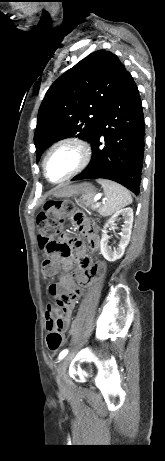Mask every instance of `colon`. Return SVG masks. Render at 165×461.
<instances>
[{"label":"colon","mask_w":165,"mask_h":461,"mask_svg":"<svg viewBox=\"0 0 165 461\" xmlns=\"http://www.w3.org/2000/svg\"><path fill=\"white\" fill-rule=\"evenodd\" d=\"M74 209L72 203L67 201H49L45 205L44 212L37 218L39 230V245L48 253H59V251H71L70 245L59 236V229L64 221V216ZM55 268L51 261L46 258L42 263V274L45 279H52L55 275ZM49 334L47 345L51 351H57L64 343L61 334V319L55 318L47 325Z\"/></svg>","instance_id":"obj_1"}]
</instances>
